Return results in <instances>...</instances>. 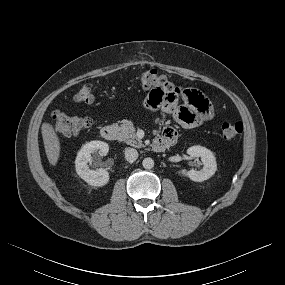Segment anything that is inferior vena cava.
Here are the masks:
<instances>
[{
    "label": "inferior vena cava",
    "instance_id": "obj_1",
    "mask_svg": "<svg viewBox=\"0 0 285 285\" xmlns=\"http://www.w3.org/2000/svg\"><path fill=\"white\" fill-rule=\"evenodd\" d=\"M124 154L126 160L129 162H134L138 158V152L134 148H126Z\"/></svg>",
    "mask_w": 285,
    "mask_h": 285
}]
</instances>
